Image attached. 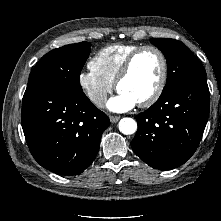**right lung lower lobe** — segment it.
Here are the masks:
<instances>
[{
  "mask_svg": "<svg viewBox=\"0 0 221 221\" xmlns=\"http://www.w3.org/2000/svg\"><path fill=\"white\" fill-rule=\"evenodd\" d=\"M21 122L29 150L44 168L60 175L82 173L95 159L110 125L83 91L27 85Z\"/></svg>",
  "mask_w": 221,
  "mask_h": 221,
  "instance_id": "obj_1",
  "label": "right lung lower lobe"
}]
</instances>
